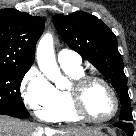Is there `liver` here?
Returning <instances> with one entry per match:
<instances>
[{"instance_id": "liver-1", "label": "liver", "mask_w": 136, "mask_h": 136, "mask_svg": "<svg viewBox=\"0 0 136 136\" xmlns=\"http://www.w3.org/2000/svg\"><path fill=\"white\" fill-rule=\"evenodd\" d=\"M96 136L103 134L98 128H67L53 130L28 121H19L0 115V136Z\"/></svg>"}]
</instances>
